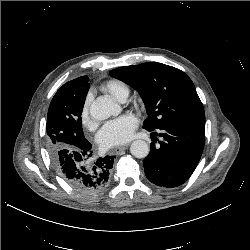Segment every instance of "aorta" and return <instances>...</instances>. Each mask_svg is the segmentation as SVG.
Wrapping results in <instances>:
<instances>
[{
	"mask_svg": "<svg viewBox=\"0 0 250 250\" xmlns=\"http://www.w3.org/2000/svg\"><path fill=\"white\" fill-rule=\"evenodd\" d=\"M119 105L111 98L99 97L90 107V116L97 120H106L119 112ZM149 145L143 140H136L131 144L130 152L136 158H145L149 154Z\"/></svg>",
	"mask_w": 250,
	"mask_h": 250,
	"instance_id": "762f6f07",
	"label": "aorta"
}]
</instances>
